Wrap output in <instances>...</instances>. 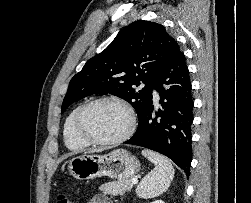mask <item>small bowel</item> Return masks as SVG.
I'll list each match as a JSON object with an SVG mask.
<instances>
[{
    "mask_svg": "<svg viewBox=\"0 0 251 203\" xmlns=\"http://www.w3.org/2000/svg\"><path fill=\"white\" fill-rule=\"evenodd\" d=\"M86 203H113V202L104 195H95L89 198Z\"/></svg>",
    "mask_w": 251,
    "mask_h": 203,
    "instance_id": "1",
    "label": "small bowel"
}]
</instances>
